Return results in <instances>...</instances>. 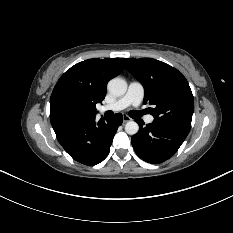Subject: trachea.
Wrapping results in <instances>:
<instances>
[{
	"mask_svg": "<svg viewBox=\"0 0 233 233\" xmlns=\"http://www.w3.org/2000/svg\"><path fill=\"white\" fill-rule=\"evenodd\" d=\"M129 114H130V116L132 118H139V117L142 116L143 112H141V111H130Z\"/></svg>",
	"mask_w": 233,
	"mask_h": 233,
	"instance_id": "trachea-1",
	"label": "trachea"
}]
</instances>
